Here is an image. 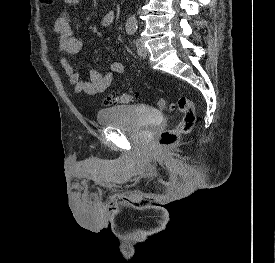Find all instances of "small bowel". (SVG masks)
I'll use <instances>...</instances> for the list:
<instances>
[{"mask_svg":"<svg viewBox=\"0 0 275 263\" xmlns=\"http://www.w3.org/2000/svg\"><path fill=\"white\" fill-rule=\"evenodd\" d=\"M69 4H77L80 0H64ZM116 14L114 11H108L100 18L101 27H110L115 21ZM54 31L58 35L57 51L62 56L60 63L66 73L69 83L73 86L74 91L78 94L96 95L104 92L113 82L116 75L123 73L124 66L121 62H113L110 72L100 74L96 70H87L81 72L76 69L69 61L68 55L78 54L83 42L75 36L72 21L67 13H62L54 22Z\"/></svg>","mask_w":275,"mask_h":263,"instance_id":"1","label":"small bowel"}]
</instances>
